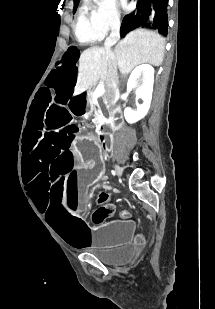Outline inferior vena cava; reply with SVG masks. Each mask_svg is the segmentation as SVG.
<instances>
[{
    "instance_id": "602c4592",
    "label": "inferior vena cava",
    "mask_w": 215,
    "mask_h": 309,
    "mask_svg": "<svg viewBox=\"0 0 215 309\" xmlns=\"http://www.w3.org/2000/svg\"><path fill=\"white\" fill-rule=\"evenodd\" d=\"M120 24V20H113L111 24V32L109 36H107L104 46H102L105 50L108 68L105 78V98L108 102L109 108H111V106H115L120 94L117 60L111 48V46L116 44L120 38Z\"/></svg>"
}]
</instances>
